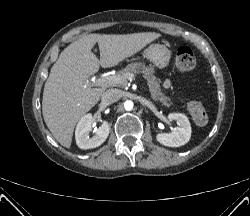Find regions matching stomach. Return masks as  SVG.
Instances as JSON below:
<instances>
[{
	"instance_id": "0dacf381",
	"label": "stomach",
	"mask_w": 250,
	"mask_h": 216,
	"mask_svg": "<svg viewBox=\"0 0 250 216\" xmlns=\"http://www.w3.org/2000/svg\"><path fill=\"white\" fill-rule=\"evenodd\" d=\"M143 56L150 60L159 69L168 67L171 51L164 45L152 44L143 51Z\"/></svg>"
}]
</instances>
